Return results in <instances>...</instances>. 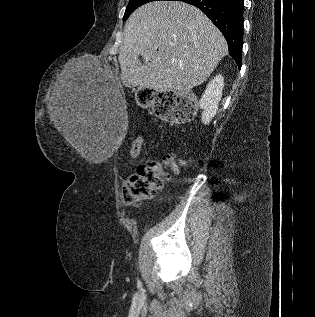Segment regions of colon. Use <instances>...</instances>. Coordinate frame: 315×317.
<instances>
[{"instance_id": "obj_1", "label": "colon", "mask_w": 315, "mask_h": 317, "mask_svg": "<svg viewBox=\"0 0 315 317\" xmlns=\"http://www.w3.org/2000/svg\"><path fill=\"white\" fill-rule=\"evenodd\" d=\"M156 115L170 122H183L193 118L196 110L194 99L187 94L172 90H158L152 95ZM142 139L136 138L130 154L136 158L141 153ZM182 160L174 155H167L163 164L150 162L142 164L125 180L123 199L127 205H135L141 200L153 197L159 191L164 181L169 177L167 170L177 172Z\"/></svg>"}]
</instances>
